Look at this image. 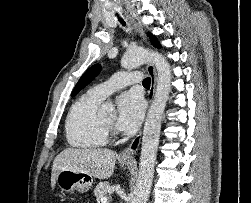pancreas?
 Listing matches in <instances>:
<instances>
[{
	"label": "pancreas",
	"mask_w": 251,
	"mask_h": 203,
	"mask_svg": "<svg viewBox=\"0 0 251 203\" xmlns=\"http://www.w3.org/2000/svg\"><path fill=\"white\" fill-rule=\"evenodd\" d=\"M110 190V184L108 182H100L94 189V195L98 203L101 202L103 197H106Z\"/></svg>",
	"instance_id": "pancreas-1"
}]
</instances>
